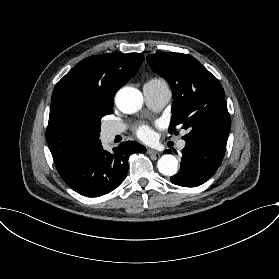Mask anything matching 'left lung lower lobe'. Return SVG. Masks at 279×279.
<instances>
[{
    "instance_id": "obj_1",
    "label": "left lung lower lobe",
    "mask_w": 279,
    "mask_h": 279,
    "mask_svg": "<svg viewBox=\"0 0 279 279\" xmlns=\"http://www.w3.org/2000/svg\"><path fill=\"white\" fill-rule=\"evenodd\" d=\"M224 154V145L208 140L186 141L180 172L172 176L170 181L183 187L199 186L216 172Z\"/></svg>"
}]
</instances>
